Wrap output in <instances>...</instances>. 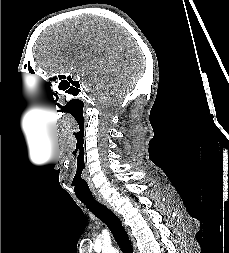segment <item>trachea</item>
I'll use <instances>...</instances> for the list:
<instances>
[{
	"label": "trachea",
	"instance_id": "trachea-1",
	"mask_svg": "<svg viewBox=\"0 0 229 253\" xmlns=\"http://www.w3.org/2000/svg\"><path fill=\"white\" fill-rule=\"evenodd\" d=\"M86 207L110 229L111 233L123 253H133V247L120 219L105 205L93 196L79 198Z\"/></svg>",
	"mask_w": 229,
	"mask_h": 253
}]
</instances>
